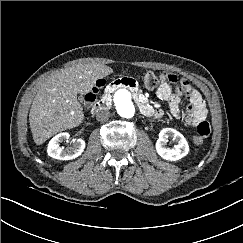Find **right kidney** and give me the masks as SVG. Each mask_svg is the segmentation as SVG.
Returning a JSON list of instances; mask_svg holds the SVG:
<instances>
[{"mask_svg": "<svg viewBox=\"0 0 243 243\" xmlns=\"http://www.w3.org/2000/svg\"><path fill=\"white\" fill-rule=\"evenodd\" d=\"M67 139H69V134L67 132L59 133L54 136L48 143V155L59 160H72L80 156L85 149V141L76 139L71 147L66 149L61 148L60 143Z\"/></svg>", "mask_w": 243, "mask_h": 243, "instance_id": "ca27d5eb", "label": "right kidney"}]
</instances>
